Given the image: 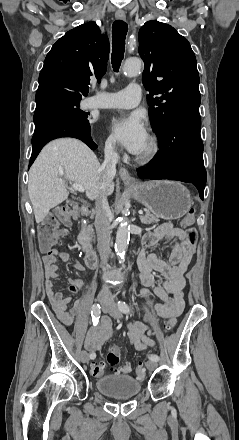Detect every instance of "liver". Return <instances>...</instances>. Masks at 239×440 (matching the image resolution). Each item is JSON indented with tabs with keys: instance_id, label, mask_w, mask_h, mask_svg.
Returning a JSON list of instances; mask_svg holds the SVG:
<instances>
[{
	"instance_id": "obj_1",
	"label": "liver",
	"mask_w": 239,
	"mask_h": 440,
	"mask_svg": "<svg viewBox=\"0 0 239 440\" xmlns=\"http://www.w3.org/2000/svg\"><path fill=\"white\" fill-rule=\"evenodd\" d=\"M101 168L94 152L80 140L59 138L41 150L29 172L28 194L36 224L69 196L67 182L80 184L89 200L111 196L114 182L101 190Z\"/></svg>"
}]
</instances>
